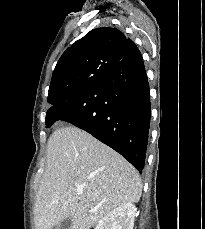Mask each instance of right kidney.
Here are the masks:
<instances>
[{
    "label": "right kidney",
    "instance_id": "ca27d5eb",
    "mask_svg": "<svg viewBox=\"0 0 205 229\" xmlns=\"http://www.w3.org/2000/svg\"><path fill=\"white\" fill-rule=\"evenodd\" d=\"M136 211L133 203L122 204L104 216L95 229H133Z\"/></svg>",
    "mask_w": 205,
    "mask_h": 229
}]
</instances>
